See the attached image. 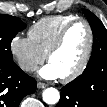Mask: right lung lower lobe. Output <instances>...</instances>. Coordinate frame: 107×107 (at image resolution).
Segmentation results:
<instances>
[{"label":"right lung lower lobe","mask_w":107,"mask_h":107,"mask_svg":"<svg viewBox=\"0 0 107 107\" xmlns=\"http://www.w3.org/2000/svg\"><path fill=\"white\" fill-rule=\"evenodd\" d=\"M36 80L14 62L0 63V107H18L20 101L36 90Z\"/></svg>","instance_id":"1"}]
</instances>
